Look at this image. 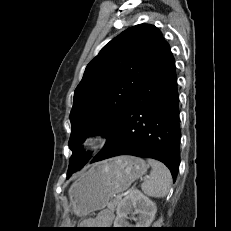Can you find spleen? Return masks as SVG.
<instances>
[{
  "mask_svg": "<svg viewBox=\"0 0 231 231\" xmlns=\"http://www.w3.org/2000/svg\"><path fill=\"white\" fill-rule=\"evenodd\" d=\"M147 162L152 170L150 176L142 183L141 189L148 196L163 198L168 194L171 186V173L164 164L157 160L148 159Z\"/></svg>",
  "mask_w": 231,
  "mask_h": 231,
  "instance_id": "obj_1",
  "label": "spleen"
}]
</instances>
